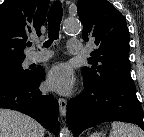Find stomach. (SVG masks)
<instances>
[{"label": "stomach", "instance_id": "stomach-1", "mask_svg": "<svg viewBox=\"0 0 144 137\" xmlns=\"http://www.w3.org/2000/svg\"><path fill=\"white\" fill-rule=\"evenodd\" d=\"M102 133H94L93 135H91V137H103Z\"/></svg>", "mask_w": 144, "mask_h": 137}]
</instances>
